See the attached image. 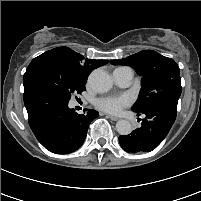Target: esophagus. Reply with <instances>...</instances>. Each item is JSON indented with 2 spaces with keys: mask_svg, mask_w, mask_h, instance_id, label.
<instances>
[{
  "mask_svg": "<svg viewBox=\"0 0 201 201\" xmlns=\"http://www.w3.org/2000/svg\"><path fill=\"white\" fill-rule=\"evenodd\" d=\"M106 117L109 118V119H111V120H113V121H118L119 120L118 117L112 116V115H106Z\"/></svg>",
  "mask_w": 201,
  "mask_h": 201,
  "instance_id": "1",
  "label": "esophagus"
}]
</instances>
